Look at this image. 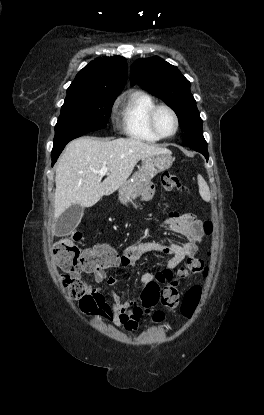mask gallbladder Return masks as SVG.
Wrapping results in <instances>:
<instances>
[{
	"instance_id": "1",
	"label": "gallbladder",
	"mask_w": 264,
	"mask_h": 415,
	"mask_svg": "<svg viewBox=\"0 0 264 415\" xmlns=\"http://www.w3.org/2000/svg\"><path fill=\"white\" fill-rule=\"evenodd\" d=\"M84 214V208L78 204H72L58 218L56 222V235L65 236L70 234L80 223Z\"/></svg>"
}]
</instances>
